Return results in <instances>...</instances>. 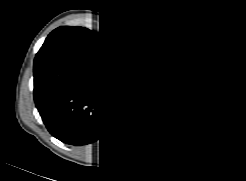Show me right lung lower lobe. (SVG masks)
Segmentation results:
<instances>
[{
    "instance_id": "obj_1",
    "label": "right lung lower lobe",
    "mask_w": 246,
    "mask_h": 181,
    "mask_svg": "<svg viewBox=\"0 0 246 181\" xmlns=\"http://www.w3.org/2000/svg\"><path fill=\"white\" fill-rule=\"evenodd\" d=\"M101 66L74 54L52 56L34 66V100L49 132L70 145L97 141L106 116L128 95L126 82L106 79Z\"/></svg>"
}]
</instances>
